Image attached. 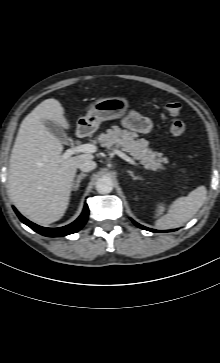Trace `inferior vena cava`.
I'll return each instance as SVG.
<instances>
[{
	"label": "inferior vena cava",
	"mask_w": 220,
	"mask_h": 363,
	"mask_svg": "<svg viewBox=\"0 0 220 363\" xmlns=\"http://www.w3.org/2000/svg\"><path fill=\"white\" fill-rule=\"evenodd\" d=\"M78 168L82 172H90L96 168V163L90 159H84L78 163Z\"/></svg>",
	"instance_id": "inferior-vena-cava-1"
}]
</instances>
